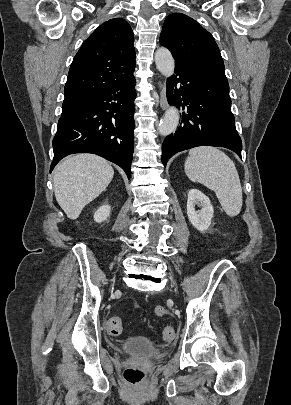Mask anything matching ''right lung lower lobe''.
I'll use <instances>...</instances> for the list:
<instances>
[{
	"instance_id": "obj_1",
	"label": "right lung lower lobe",
	"mask_w": 291,
	"mask_h": 405,
	"mask_svg": "<svg viewBox=\"0 0 291 405\" xmlns=\"http://www.w3.org/2000/svg\"><path fill=\"white\" fill-rule=\"evenodd\" d=\"M135 78L113 83L61 115L50 172L65 156L93 153L119 165L128 178L134 150Z\"/></svg>"
}]
</instances>
